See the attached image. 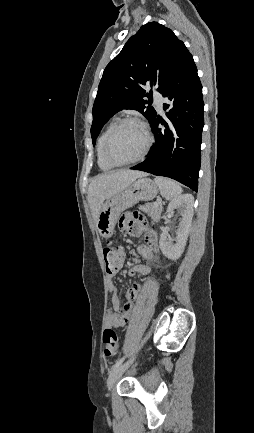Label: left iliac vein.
I'll return each mask as SVG.
<instances>
[{"label":"left iliac vein","mask_w":254,"mask_h":433,"mask_svg":"<svg viewBox=\"0 0 254 433\" xmlns=\"http://www.w3.org/2000/svg\"><path fill=\"white\" fill-rule=\"evenodd\" d=\"M134 358L131 360L124 362L120 364L115 370H113L108 378L107 381V387L108 390L111 391L113 387L115 386L118 379L122 376V374L130 367V365L133 363Z\"/></svg>","instance_id":"1"}]
</instances>
